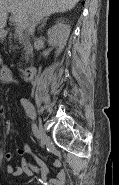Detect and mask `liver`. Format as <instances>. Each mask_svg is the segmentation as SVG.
<instances>
[{
  "instance_id": "1",
  "label": "liver",
  "mask_w": 119,
  "mask_h": 185,
  "mask_svg": "<svg viewBox=\"0 0 119 185\" xmlns=\"http://www.w3.org/2000/svg\"><path fill=\"white\" fill-rule=\"evenodd\" d=\"M79 0H0V29L6 26L8 13L11 23L27 28L28 19L39 23L45 16L71 10Z\"/></svg>"
}]
</instances>
